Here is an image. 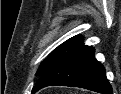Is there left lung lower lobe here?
Instances as JSON below:
<instances>
[{
    "label": "left lung lower lobe",
    "mask_w": 121,
    "mask_h": 94,
    "mask_svg": "<svg viewBox=\"0 0 121 94\" xmlns=\"http://www.w3.org/2000/svg\"><path fill=\"white\" fill-rule=\"evenodd\" d=\"M52 85L85 88L102 94H112L105 68L94 57V49L84 45L65 56L46 71L32 89V94Z\"/></svg>",
    "instance_id": "left-lung-lower-lobe-1"
}]
</instances>
